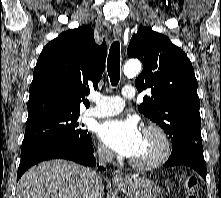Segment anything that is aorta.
Returning a JSON list of instances; mask_svg holds the SVG:
<instances>
[{"label": "aorta", "mask_w": 221, "mask_h": 198, "mask_svg": "<svg viewBox=\"0 0 221 198\" xmlns=\"http://www.w3.org/2000/svg\"><path fill=\"white\" fill-rule=\"evenodd\" d=\"M141 71V64L138 60H129L124 65L123 72L126 76H135Z\"/></svg>", "instance_id": "obj_1"}]
</instances>
